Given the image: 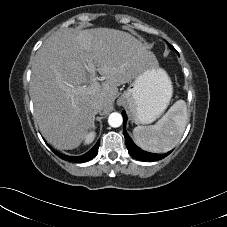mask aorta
I'll return each mask as SVG.
<instances>
[{
	"label": "aorta",
	"mask_w": 227,
	"mask_h": 227,
	"mask_svg": "<svg viewBox=\"0 0 227 227\" xmlns=\"http://www.w3.org/2000/svg\"><path fill=\"white\" fill-rule=\"evenodd\" d=\"M123 122L122 115L120 113L114 112L111 113L108 117V123L111 127H119Z\"/></svg>",
	"instance_id": "1"
}]
</instances>
